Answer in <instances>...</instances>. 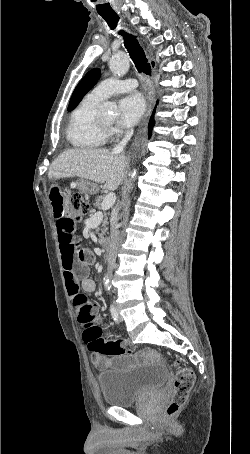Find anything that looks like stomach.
I'll use <instances>...</instances> for the list:
<instances>
[{
  "mask_svg": "<svg viewBox=\"0 0 250 454\" xmlns=\"http://www.w3.org/2000/svg\"><path fill=\"white\" fill-rule=\"evenodd\" d=\"M79 189L84 193L95 194L98 191V188L95 184L88 181H82L79 186Z\"/></svg>",
  "mask_w": 250,
  "mask_h": 454,
  "instance_id": "obj_1",
  "label": "stomach"
}]
</instances>
